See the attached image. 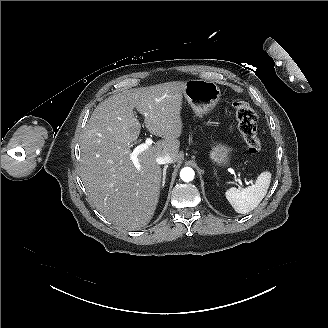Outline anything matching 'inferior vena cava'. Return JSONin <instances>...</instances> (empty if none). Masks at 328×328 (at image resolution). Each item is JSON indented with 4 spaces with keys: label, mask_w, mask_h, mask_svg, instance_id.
<instances>
[{
    "label": "inferior vena cava",
    "mask_w": 328,
    "mask_h": 328,
    "mask_svg": "<svg viewBox=\"0 0 328 328\" xmlns=\"http://www.w3.org/2000/svg\"><path fill=\"white\" fill-rule=\"evenodd\" d=\"M156 162H157V164L161 165V164L172 163L173 160L169 155H163V156L157 157Z\"/></svg>",
    "instance_id": "obj_1"
}]
</instances>
